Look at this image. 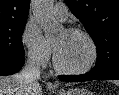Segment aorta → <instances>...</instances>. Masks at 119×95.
Here are the masks:
<instances>
[{"mask_svg":"<svg viewBox=\"0 0 119 95\" xmlns=\"http://www.w3.org/2000/svg\"><path fill=\"white\" fill-rule=\"evenodd\" d=\"M53 4L54 0H34L33 2L34 17L41 25L47 39L53 38L63 29L53 16Z\"/></svg>","mask_w":119,"mask_h":95,"instance_id":"1","label":"aorta"}]
</instances>
